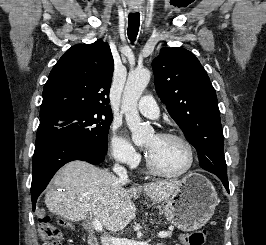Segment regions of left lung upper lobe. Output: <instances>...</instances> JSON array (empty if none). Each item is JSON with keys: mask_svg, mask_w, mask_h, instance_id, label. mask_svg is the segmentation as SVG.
<instances>
[{"mask_svg": "<svg viewBox=\"0 0 266 245\" xmlns=\"http://www.w3.org/2000/svg\"><path fill=\"white\" fill-rule=\"evenodd\" d=\"M152 68L157 94L196 148L201 167L227 175L216 92L199 60L186 49L163 48Z\"/></svg>", "mask_w": 266, "mask_h": 245, "instance_id": "5c2ea615", "label": "left lung upper lobe"}]
</instances>
